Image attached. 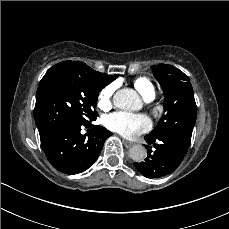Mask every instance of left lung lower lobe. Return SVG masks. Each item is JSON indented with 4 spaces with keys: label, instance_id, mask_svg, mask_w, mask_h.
<instances>
[{
    "label": "left lung lower lobe",
    "instance_id": "obj_1",
    "mask_svg": "<svg viewBox=\"0 0 229 229\" xmlns=\"http://www.w3.org/2000/svg\"><path fill=\"white\" fill-rule=\"evenodd\" d=\"M146 142L153 144L155 151L152 152L148 145V156L144 162H134L136 169L147 178H158L172 173L182 162L189 146L174 138L165 136L144 137Z\"/></svg>",
    "mask_w": 229,
    "mask_h": 229
}]
</instances>
